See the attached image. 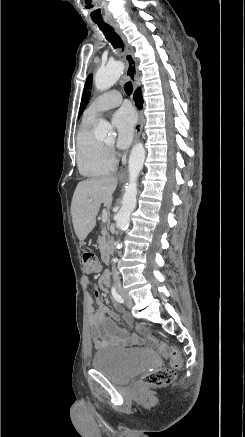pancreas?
<instances>
[{"label":"pancreas","instance_id":"obj_1","mask_svg":"<svg viewBox=\"0 0 245 437\" xmlns=\"http://www.w3.org/2000/svg\"><path fill=\"white\" fill-rule=\"evenodd\" d=\"M101 236L98 238V246L100 251H104L109 243V233L105 224L101 226Z\"/></svg>","mask_w":245,"mask_h":437}]
</instances>
